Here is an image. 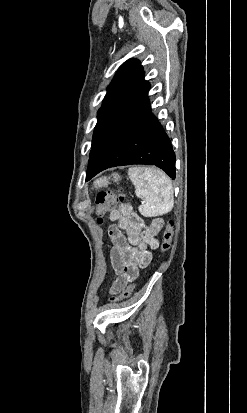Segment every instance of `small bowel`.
Masks as SVG:
<instances>
[{"label": "small bowel", "instance_id": "obj_1", "mask_svg": "<svg viewBox=\"0 0 247 413\" xmlns=\"http://www.w3.org/2000/svg\"><path fill=\"white\" fill-rule=\"evenodd\" d=\"M110 220L116 222L109 229L112 242L110 261L115 273L122 274L126 280H114L110 297L124 293L129 286L128 281L139 276V269L147 267L152 261L149 248L159 246L158 235L163 228L162 219H154L146 224L130 204L122 203L110 211Z\"/></svg>", "mask_w": 247, "mask_h": 413}]
</instances>
